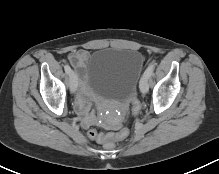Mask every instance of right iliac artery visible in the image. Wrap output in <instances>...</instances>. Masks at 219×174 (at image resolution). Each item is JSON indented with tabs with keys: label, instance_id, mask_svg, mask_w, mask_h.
I'll list each match as a JSON object with an SVG mask.
<instances>
[{
	"label": "right iliac artery",
	"instance_id": "obj_1",
	"mask_svg": "<svg viewBox=\"0 0 219 174\" xmlns=\"http://www.w3.org/2000/svg\"><path fill=\"white\" fill-rule=\"evenodd\" d=\"M64 69H65V72L67 73V74H70L71 73V68H70V66L68 65V64H66L65 66H64Z\"/></svg>",
	"mask_w": 219,
	"mask_h": 174
}]
</instances>
